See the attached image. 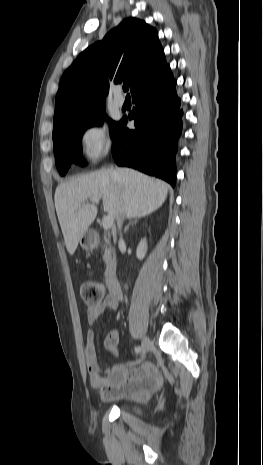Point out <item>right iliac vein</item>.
<instances>
[{
    "instance_id": "obj_1",
    "label": "right iliac vein",
    "mask_w": 263,
    "mask_h": 465,
    "mask_svg": "<svg viewBox=\"0 0 263 465\" xmlns=\"http://www.w3.org/2000/svg\"><path fill=\"white\" fill-rule=\"evenodd\" d=\"M151 347V341L147 336H144L142 339V345H141V356H144L150 349Z\"/></svg>"
}]
</instances>
